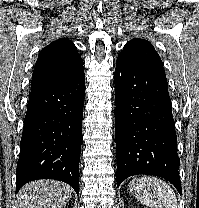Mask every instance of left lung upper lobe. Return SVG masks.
<instances>
[{
    "label": "left lung upper lobe",
    "mask_w": 199,
    "mask_h": 208,
    "mask_svg": "<svg viewBox=\"0 0 199 208\" xmlns=\"http://www.w3.org/2000/svg\"><path fill=\"white\" fill-rule=\"evenodd\" d=\"M119 57L129 59L148 71L166 77L160 56L147 40L139 38L130 40L124 46Z\"/></svg>",
    "instance_id": "1"
}]
</instances>
